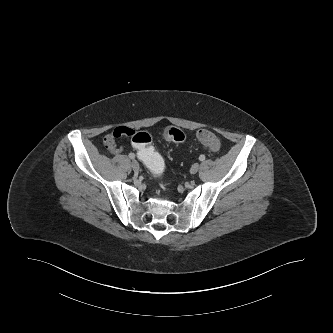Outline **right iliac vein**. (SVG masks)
<instances>
[{
    "label": "right iliac vein",
    "instance_id": "63e3f726",
    "mask_svg": "<svg viewBox=\"0 0 333 333\" xmlns=\"http://www.w3.org/2000/svg\"><path fill=\"white\" fill-rule=\"evenodd\" d=\"M131 167L135 172L139 171L140 169L139 163L136 160H133L131 162Z\"/></svg>",
    "mask_w": 333,
    "mask_h": 333
}]
</instances>
